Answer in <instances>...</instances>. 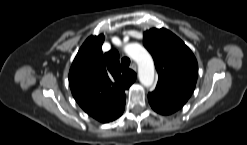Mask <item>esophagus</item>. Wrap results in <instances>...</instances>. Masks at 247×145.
I'll list each match as a JSON object with an SVG mask.
<instances>
[{
    "label": "esophagus",
    "instance_id": "obj_1",
    "mask_svg": "<svg viewBox=\"0 0 247 145\" xmlns=\"http://www.w3.org/2000/svg\"><path fill=\"white\" fill-rule=\"evenodd\" d=\"M131 69H133L134 71L137 70V64L135 62H133L130 66Z\"/></svg>",
    "mask_w": 247,
    "mask_h": 145
}]
</instances>
